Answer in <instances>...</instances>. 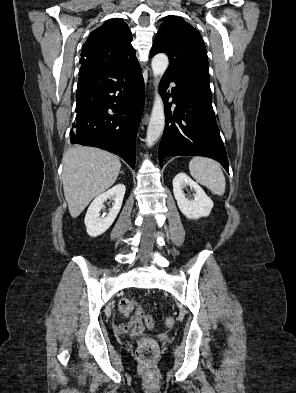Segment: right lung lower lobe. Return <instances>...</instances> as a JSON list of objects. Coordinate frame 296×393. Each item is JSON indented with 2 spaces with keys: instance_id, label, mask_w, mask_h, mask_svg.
Here are the masks:
<instances>
[{
  "instance_id": "right-lung-lower-lobe-1",
  "label": "right lung lower lobe",
  "mask_w": 296,
  "mask_h": 393,
  "mask_svg": "<svg viewBox=\"0 0 296 393\" xmlns=\"http://www.w3.org/2000/svg\"><path fill=\"white\" fill-rule=\"evenodd\" d=\"M144 106L139 64L123 68L81 66L71 143L99 147L135 168V140Z\"/></svg>"
}]
</instances>
